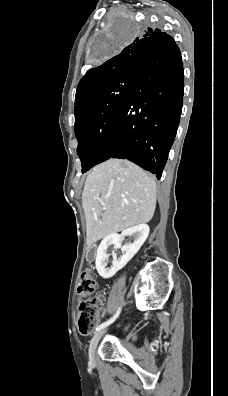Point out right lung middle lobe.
Returning <instances> with one entry per match:
<instances>
[{
    "label": "right lung middle lobe",
    "mask_w": 228,
    "mask_h": 396,
    "mask_svg": "<svg viewBox=\"0 0 228 396\" xmlns=\"http://www.w3.org/2000/svg\"><path fill=\"white\" fill-rule=\"evenodd\" d=\"M131 33L136 34L139 27L133 19L127 20ZM123 39L115 37L110 48L103 50L110 53ZM136 73L118 76L105 83L87 97L75 115V135L78 140L77 153L82 163V173L95 166L102 156L111 128L123 105Z\"/></svg>",
    "instance_id": "obj_1"
}]
</instances>
